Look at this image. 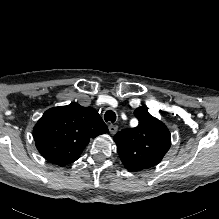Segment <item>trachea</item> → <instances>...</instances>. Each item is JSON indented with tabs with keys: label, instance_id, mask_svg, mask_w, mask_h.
<instances>
[{
	"label": "trachea",
	"instance_id": "3493384b",
	"mask_svg": "<svg viewBox=\"0 0 219 219\" xmlns=\"http://www.w3.org/2000/svg\"><path fill=\"white\" fill-rule=\"evenodd\" d=\"M104 119H105L106 122L110 121L111 123H114L116 121L115 112L112 111V110H107L105 112Z\"/></svg>",
	"mask_w": 219,
	"mask_h": 219
}]
</instances>
